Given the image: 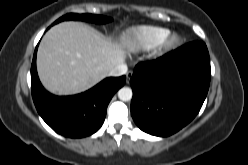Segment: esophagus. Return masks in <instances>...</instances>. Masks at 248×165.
<instances>
[{
    "instance_id": "34e87169",
    "label": "esophagus",
    "mask_w": 248,
    "mask_h": 165,
    "mask_svg": "<svg viewBox=\"0 0 248 165\" xmlns=\"http://www.w3.org/2000/svg\"><path fill=\"white\" fill-rule=\"evenodd\" d=\"M132 75H133V72L132 71L127 72V74H126V78H127L126 82L127 83H129L130 78L132 77Z\"/></svg>"
}]
</instances>
